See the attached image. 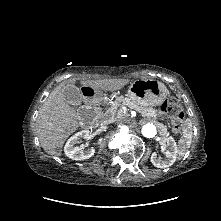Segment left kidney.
Segmentation results:
<instances>
[{"instance_id": "1", "label": "left kidney", "mask_w": 221, "mask_h": 221, "mask_svg": "<svg viewBox=\"0 0 221 221\" xmlns=\"http://www.w3.org/2000/svg\"><path fill=\"white\" fill-rule=\"evenodd\" d=\"M161 143L165 148H167L165 152L166 158L164 160H161L154 152L151 155V163L157 168H167L173 165V163L176 161L178 148L173 137L163 139Z\"/></svg>"}]
</instances>
